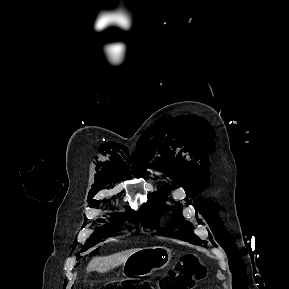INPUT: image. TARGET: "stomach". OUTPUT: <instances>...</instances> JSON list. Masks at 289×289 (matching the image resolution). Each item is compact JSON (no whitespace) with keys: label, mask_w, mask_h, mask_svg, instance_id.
<instances>
[{"label":"stomach","mask_w":289,"mask_h":289,"mask_svg":"<svg viewBox=\"0 0 289 289\" xmlns=\"http://www.w3.org/2000/svg\"><path fill=\"white\" fill-rule=\"evenodd\" d=\"M171 256V250L163 246L143 248L123 263L122 270L132 276H148L154 271L167 266Z\"/></svg>","instance_id":"1"}]
</instances>
